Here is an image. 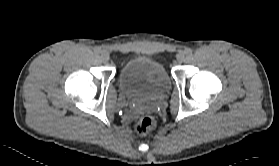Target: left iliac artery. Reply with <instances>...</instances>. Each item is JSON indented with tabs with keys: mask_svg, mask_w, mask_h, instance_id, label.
Listing matches in <instances>:
<instances>
[{
	"mask_svg": "<svg viewBox=\"0 0 279 166\" xmlns=\"http://www.w3.org/2000/svg\"><path fill=\"white\" fill-rule=\"evenodd\" d=\"M185 53H186L187 55H192V49H191V48H186V49H185Z\"/></svg>",
	"mask_w": 279,
	"mask_h": 166,
	"instance_id": "1",
	"label": "left iliac artery"
}]
</instances>
